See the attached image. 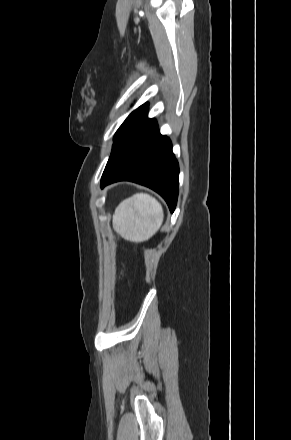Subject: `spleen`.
Wrapping results in <instances>:
<instances>
[{"label": "spleen", "instance_id": "obj_1", "mask_svg": "<svg viewBox=\"0 0 291 440\" xmlns=\"http://www.w3.org/2000/svg\"><path fill=\"white\" fill-rule=\"evenodd\" d=\"M164 219L162 205L147 193H136L123 200L113 214V228L127 241H147L160 229Z\"/></svg>", "mask_w": 291, "mask_h": 440}]
</instances>
